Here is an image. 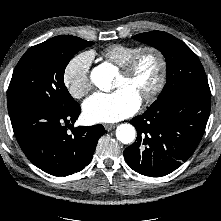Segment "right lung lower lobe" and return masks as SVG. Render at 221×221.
Instances as JSON below:
<instances>
[{"instance_id":"obj_1","label":"right lung lower lobe","mask_w":221,"mask_h":221,"mask_svg":"<svg viewBox=\"0 0 221 221\" xmlns=\"http://www.w3.org/2000/svg\"><path fill=\"white\" fill-rule=\"evenodd\" d=\"M79 114V104L65 110L35 105L9 112L24 154L35 166L54 176L81 171L90 163L98 139L105 133L101 124L74 128L70 123Z\"/></svg>"}]
</instances>
